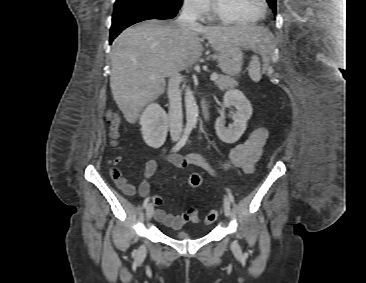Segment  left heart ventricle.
<instances>
[{
    "label": "left heart ventricle",
    "mask_w": 366,
    "mask_h": 283,
    "mask_svg": "<svg viewBox=\"0 0 366 283\" xmlns=\"http://www.w3.org/2000/svg\"><path fill=\"white\" fill-rule=\"evenodd\" d=\"M218 5L230 16L239 20H252L262 12L261 0H217Z\"/></svg>",
    "instance_id": "left-heart-ventricle-1"
}]
</instances>
